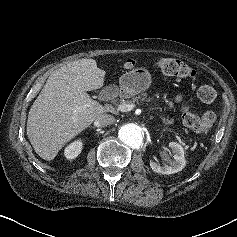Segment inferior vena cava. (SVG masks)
I'll return each mask as SVG.
<instances>
[{"label":"inferior vena cava","instance_id":"inferior-vena-cava-1","mask_svg":"<svg viewBox=\"0 0 237 237\" xmlns=\"http://www.w3.org/2000/svg\"><path fill=\"white\" fill-rule=\"evenodd\" d=\"M115 121V118L110 114H102L96 118L94 121V126L96 127H105L112 124Z\"/></svg>","mask_w":237,"mask_h":237}]
</instances>
